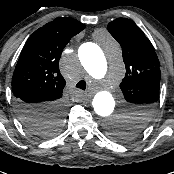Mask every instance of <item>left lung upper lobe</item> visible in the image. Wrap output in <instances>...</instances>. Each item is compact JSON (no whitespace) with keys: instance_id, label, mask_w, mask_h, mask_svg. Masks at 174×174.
<instances>
[{"instance_id":"obj_1","label":"left lung upper lobe","mask_w":174,"mask_h":174,"mask_svg":"<svg viewBox=\"0 0 174 174\" xmlns=\"http://www.w3.org/2000/svg\"><path fill=\"white\" fill-rule=\"evenodd\" d=\"M122 47L126 74L120 88L131 113V132L142 130L151 120L159 100L160 63L144 32L130 19L118 18L107 27ZM120 140L128 135L111 132Z\"/></svg>"}]
</instances>
